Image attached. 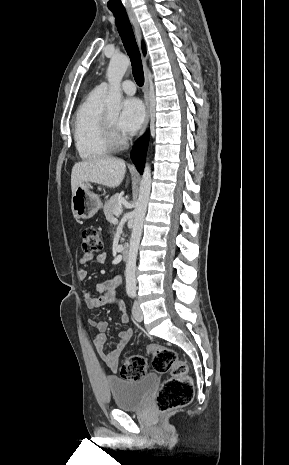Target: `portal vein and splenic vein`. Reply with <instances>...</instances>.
Returning <instances> with one entry per match:
<instances>
[{"instance_id":"obj_1","label":"portal vein and splenic vein","mask_w":289,"mask_h":465,"mask_svg":"<svg viewBox=\"0 0 289 465\" xmlns=\"http://www.w3.org/2000/svg\"><path fill=\"white\" fill-rule=\"evenodd\" d=\"M122 211H123V210H122V207H119V208H117V209L115 210L114 215H115V216H119V215L122 213Z\"/></svg>"}]
</instances>
